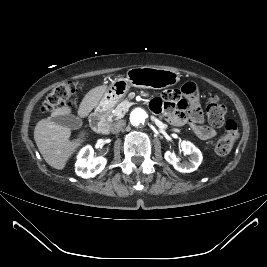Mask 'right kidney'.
Listing matches in <instances>:
<instances>
[{
	"label": "right kidney",
	"instance_id": "obj_1",
	"mask_svg": "<svg viewBox=\"0 0 267 267\" xmlns=\"http://www.w3.org/2000/svg\"><path fill=\"white\" fill-rule=\"evenodd\" d=\"M94 150L92 146L83 147L77 155L75 163V172L82 178H93L105 168L107 159L105 157H93Z\"/></svg>",
	"mask_w": 267,
	"mask_h": 267
}]
</instances>
